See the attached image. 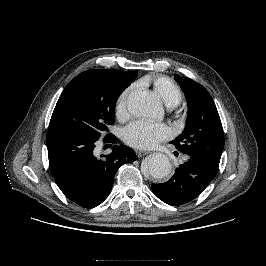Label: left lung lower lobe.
<instances>
[{"instance_id": "1", "label": "left lung lower lobe", "mask_w": 266, "mask_h": 266, "mask_svg": "<svg viewBox=\"0 0 266 266\" xmlns=\"http://www.w3.org/2000/svg\"><path fill=\"white\" fill-rule=\"evenodd\" d=\"M218 167L194 156L175 170L163 184H152L153 193L163 202L178 206L196 198L215 178Z\"/></svg>"}]
</instances>
